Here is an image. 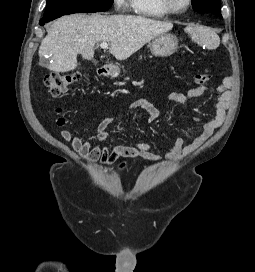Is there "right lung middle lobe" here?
<instances>
[{
    "mask_svg": "<svg viewBox=\"0 0 255 272\" xmlns=\"http://www.w3.org/2000/svg\"><path fill=\"white\" fill-rule=\"evenodd\" d=\"M112 3L113 0H48L44 17L107 11Z\"/></svg>",
    "mask_w": 255,
    "mask_h": 272,
    "instance_id": "right-lung-middle-lobe-1",
    "label": "right lung middle lobe"
}]
</instances>
